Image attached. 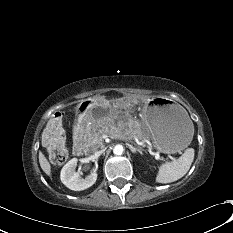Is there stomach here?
Masks as SVG:
<instances>
[{
	"mask_svg": "<svg viewBox=\"0 0 233 233\" xmlns=\"http://www.w3.org/2000/svg\"><path fill=\"white\" fill-rule=\"evenodd\" d=\"M92 109H87L82 102L78 113L85 121L99 123L110 119L119 121L133 110V103L128 98L110 99L106 103L91 100ZM145 125L148 136L157 150L164 154H174L183 150L191 142L194 126L187 112L179 105L165 98L151 100L144 107Z\"/></svg>",
	"mask_w": 233,
	"mask_h": 233,
	"instance_id": "0dacf381",
	"label": "stomach"
}]
</instances>
